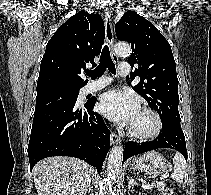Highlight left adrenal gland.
Returning a JSON list of instances; mask_svg holds the SVG:
<instances>
[{
	"mask_svg": "<svg viewBox=\"0 0 211 195\" xmlns=\"http://www.w3.org/2000/svg\"><path fill=\"white\" fill-rule=\"evenodd\" d=\"M136 184V181L132 177H128V189H131V186H134Z\"/></svg>",
	"mask_w": 211,
	"mask_h": 195,
	"instance_id": "left-adrenal-gland-1",
	"label": "left adrenal gland"
}]
</instances>
